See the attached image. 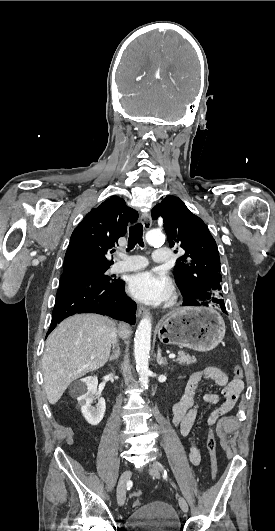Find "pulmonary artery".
I'll return each instance as SVG.
<instances>
[{"instance_id":"obj_1","label":"pulmonary artery","mask_w":275,"mask_h":531,"mask_svg":"<svg viewBox=\"0 0 275 531\" xmlns=\"http://www.w3.org/2000/svg\"><path fill=\"white\" fill-rule=\"evenodd\" d=\"M118 260L110 267L111 273H119L139 269L145 265L144 258L139 255H129L123 248H118L115 252ZM152 263L165 265L167 263L168 252L166 250H154L151 253Z\"/></svg>"}]
</instances>
